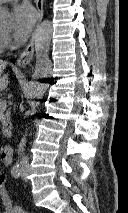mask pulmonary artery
I'll use <instances>...</instances> for the list:
<instances>
[{"instance_id": "obj_1", "label": "pulmonary artery", "mask_w": 128, "mask_h": 213, "mask_svg": "<svg viewBox=\"0 0 128 213\" xmlns=\"http://www.w3.org/2000/svg\"><path fill=\"white\" fill-rule=\"evenodd\" d=\"M7 1H11V0H0V3L7 2Z\"/></svg>"}]
</instances>
